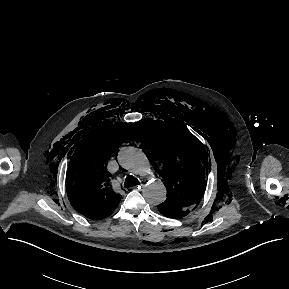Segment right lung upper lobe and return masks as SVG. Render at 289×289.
<instances>
[{
	"label": "right lung upper lobe",
	"instance_id": "cb5924a9",
	"mask_svg": "<svg viewBox=\"0 0 289 289\" xmlns=\"http://www.w3.org/2000/svg\"><path fill=\"white\" fill-rule=\"evenodd\" d=\"M130 123L108 124L87 134L69 164L67 195L72 207L86 218L101 220L114 211L121 195L110 185L107 163L127 139Z\"/></svg>",
	"mask_w": 289,
	"mask_h": 289
}]
</instances>
